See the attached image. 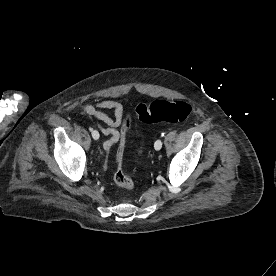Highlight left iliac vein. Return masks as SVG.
<instances>
[{"label": "left iliac vein", "mask_w": 276, "mask_h": 276, "mask_svg": "<svg viewBox=\"0 0 276 276\" xmlns=\"http://www.w3.org/2000/svg\"><path fill=\"white\" fill-rule=\"evenodd\" d=\"M154 147L156 150H160L162 148V141L160 139L156 140Z\"/></svg>", "instance_id": "1"}]
</instances>
